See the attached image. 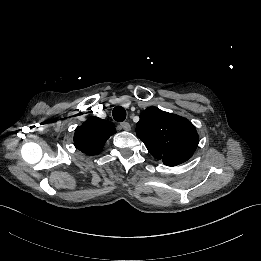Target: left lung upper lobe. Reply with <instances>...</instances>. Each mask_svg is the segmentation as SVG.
<instances>
[{
  "mask_svg": "<svg viewBox=\"0 0 261 261\" xmlns=\"http://www.w3.org/2000/svg\"><path fill=\"white\" fill-rule=\"evenodd\" d=\"M136 134L148 151L168 166L187 161L199 142L196 129L189 120L156 107H149L140 114Z\"/></svg>",
  "mask_w": 261,
  "mask_h": 261,
  "instance_id": "obj_1",
  "label": "left lung upper lobe"
}]
</instances>
